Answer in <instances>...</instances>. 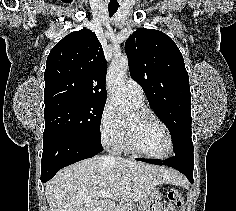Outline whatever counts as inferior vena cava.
<instances>
[{"mask_svg": "<svg viewBox=\"0 0 236 211\" xmlns=\"http://www.w3.org/2000/svg\"><path fill=\"white\" fill-rule=\"evenodd\" d=\"M109 158H112V159H113L114 157L109 156Z\"/></svg>", "mask_w": 236, "mask_h": 211, "instance_id": "inferior-vena-cava-1", "label": "inferior vena cava"}]
</instances>
